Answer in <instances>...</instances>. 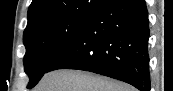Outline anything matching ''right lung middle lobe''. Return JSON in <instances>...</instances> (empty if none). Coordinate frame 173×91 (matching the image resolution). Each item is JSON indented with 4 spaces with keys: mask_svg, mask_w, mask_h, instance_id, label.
<instances>
[{
    "mask_svg": "<svg viewBox=\"0 0 173 91\" xmlns=\"http://www.w3.org/2000/svg\"><path fill=\"white\" fill-rule=\"evenodd\" d=\"M93 14L46 20L25 29L24 69L30 78L28 88L37 84L50 64L73 41Z\"/></svg>",
    "mask_w": 173,
    "mask_h": 91,
    "instance_id": "obj_1",
    "label": "right lung middle lobe"
}]
</instances>
